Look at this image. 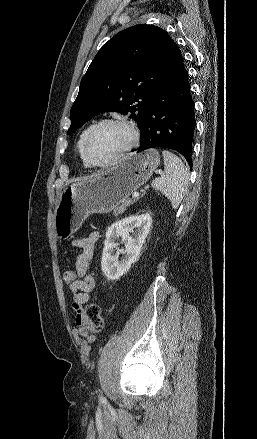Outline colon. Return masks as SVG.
Wrapping results in <instances>:
<instances>
[{"instance_id":"5ec220e1","label":"colon","mask_w":257,"mask_h":439,"mask_svg":"<svg viewBox=\"0 0 257 439\" xmlns=\"http://www.w3.org/2000/svg\"><path fill=\"white\" fill-rule=\"evenodd\" d=\"M77 279L76 272L68 270L64 273V281L67 285L71 286ZM83 316L87 322H89L94 331H101L104 326V318L102 316L101 308L96 303H90L83 309Z\"/></svg>"}]
</instances>
